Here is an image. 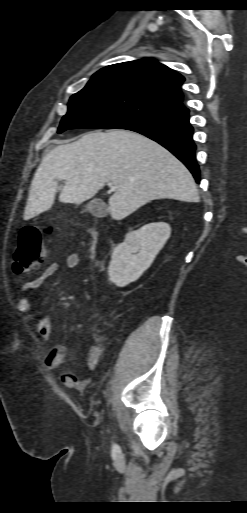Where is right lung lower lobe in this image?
Here are the masks:
<instances>
[{"mask_svg":"<svg viewBox=\"0 0 247 513\" xmlns=\"http://www.w3.org/2000/svg\"><path fill=\"white\" fill-rule=\"evenodd\" d=\"M119 129L138 132L164 146L186 165L199 183V166L195 158L196 146L192 139L193 127L189 123L187 108L141 118L124 124Z\"/></svg>","mask_w":247,"mask_h":513,"instance_id":"obj_1","label":"right lung lower lobe"}]
</instances>
